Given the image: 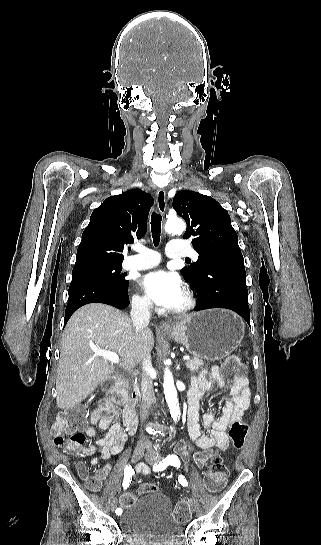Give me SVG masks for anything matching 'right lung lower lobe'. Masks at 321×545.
<instances>
[{
  "mask_svg": "<svg viewBox=\"0 0 321 545\" xmlns=\"http://www.w3.org/2000/svg\"><path fill=\"white\" fill-rule=\"evenodd\" d=\"M128 283L119 285L92 276L72 277L64 324L78 308L89 303L109 304L118 309L126 308L130 303Z\"/></svg>",
  "mask_w": 321,
  "mask_h": 545,
  "instance_id": "1",
  "label": "right lung lower lobe"
}]
</instances>
